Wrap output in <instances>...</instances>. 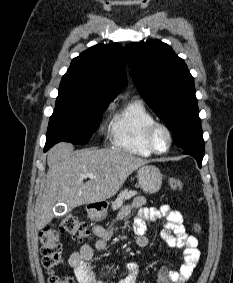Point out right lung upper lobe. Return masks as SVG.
Listing matches in <instances>:
<instances>
[{"label":"right lung upper lobe","mask_w":233,"mask_h":283,"mask_svg":"<svg viewBox=\"0 0 233 283\" xmlns=\"http://www.w3.org/2000/svg\"><path fill=\"white\" fill-rule=\"evenodd\" d=\"M125 65L121 45H95L72 60L59 91L89 102L109 104L126 86Z\"/></svg>","instance_id":"cb5924a9"}]
</instances>
